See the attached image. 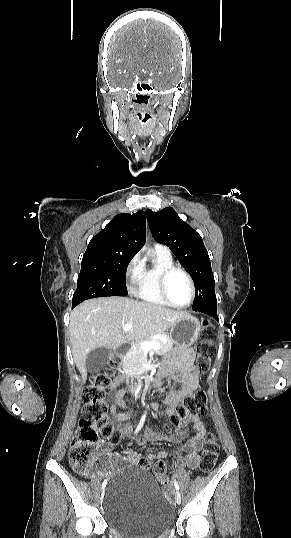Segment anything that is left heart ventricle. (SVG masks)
I'll list each match as a JSON object with an SVG mask.
<instances>
[{
	"mask_svg": "<svg viewBox=\"0 0 291 538\" xmlns=\"http://www.w3.org/2000/svg\"><path fill=\"white\" fill-rule=\"evenodd\" d=\"M168 293L172 301L185 304L190 298V287L186 277L180 273H173L167 283Z\"/></svg>",
	"mask_w": 291,
	"mask_h": 538,
	"instance_id": "left-heart-ventricle-1",
	"label": "left heart ventricle"
}]
</instances>
